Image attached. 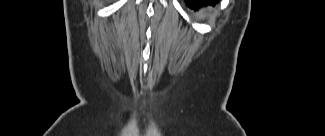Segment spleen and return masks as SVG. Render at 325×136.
I'll return each mask as SVG.
<instances>
[{"label":"spleen","instance_id":"spleen-1","mask_svg":"<svg viewBox=\"0 0 325 136\" xmlns=\"http://www.w3.org/2000/svg\"><path fill=\"white\" fill-rule=\"evenodd\" d=\"M198 17H199V18H202V17H203L202 13H199V14H198Z\"/></svg>","mask_w":325,"mask_h":136}]
</instances>
